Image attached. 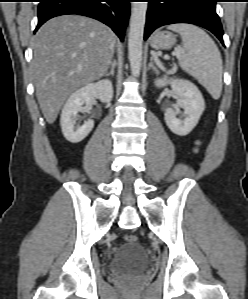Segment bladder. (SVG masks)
Listing matches in <instances>:
<instances>
[{
    "label": "bladder",
    "mask_w": 248,
    "mask_h": 299,
    "mask_svg": "<svg viewBox=\"0 0 248 299\" xmlns=\"http://www.w3.org/2000/svg\"><path fill=\"white\" fill-rule=\"evenodd\" d=\"M148 267V258L138 243L123 245L109 261L108 268L111 273H141Z\"/></svg>",
    "instance_id": "bladder-1"
}]
</instances>
